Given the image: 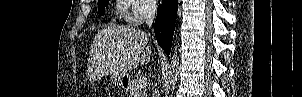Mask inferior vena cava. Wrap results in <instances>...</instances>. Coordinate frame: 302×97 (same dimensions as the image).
Masks as SVG:
<instances>
[{
	"instance_id": "obj_1",
	"label": "inferior vena cava",
	"mask_w": 302,
	"mask_h": 97,
	"mask_svg": "<svg viewBox=\"0 0 302 97\" xmlns=\"http://www.w3.org/2000/svg\"><path fill=\"white\" fill-rule=\"evenodd\" d=\"M157 9L156 0H148L146 3V24L151 28Z\"/></svg>"
}]
</instances>
